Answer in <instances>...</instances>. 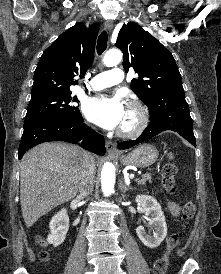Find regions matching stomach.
<instances>
[{"label": "stomach", "instance_id": "0dacf381", "mask_svg": "<svg viewBox=\"0 0 221 274\" xmlns=\"http://www.w3.org/2000/svg\"><path fill=\"white\" fill-rule=\"evenodd\" d=\"M158 150L150 144H143L126 155H120V160L125 166L139 168L149 167L158 159Z\"/></svg>", "mask_w": 221, "mask_h": 274}]
</instances>
